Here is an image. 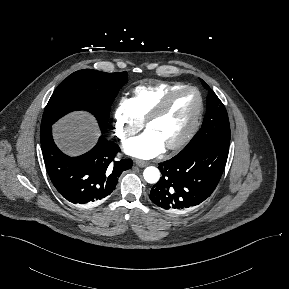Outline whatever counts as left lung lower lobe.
<instances>
[{
	"label": "left lung lower lobe",
	"instance_id": "1",
	"mask_svg": "<svg viewBox=\"0 0 289 289\" xmlns=\"http://www.w3.org/2000/svg\"><path fill=\"white\" fill-rule=\"evenodd\" d=\"M228 152L229 145L206 144L159 163L162 177L151 189V201L172 213L196 207L219 183Z\"/></svg>",
	"mask_w": 289,
	"mask_h": 289
}]
</instances>
